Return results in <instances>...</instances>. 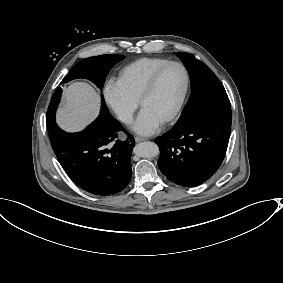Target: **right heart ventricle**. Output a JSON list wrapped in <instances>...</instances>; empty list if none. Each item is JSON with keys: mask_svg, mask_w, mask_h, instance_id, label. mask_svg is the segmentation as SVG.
<instances>
[{"mask_svg": "<svg viewBox=\"0 0 283 283\" xmlns=\"http://www.w3.org/2000/svg\"><path fill=\"white\" fill-rule=\"evenodd\" d=\"M171 60L161 56L139 58L124 67L118 73V80L126 92L136 101L142 92L148 77L159 67Z\"/></svg>", "mask_w": 283, "mask_h": 283, "instance_id": "right-heart-ventricle-1", "label": "right heart ventricle"}]
</instances>
